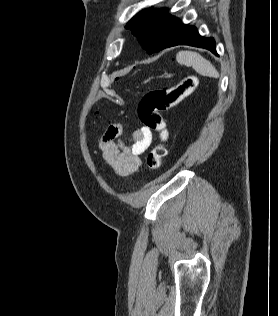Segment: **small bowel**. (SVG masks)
Listing matches in <instances>:
<instances>
[{
	"mask_svg": "<svg viewBox=\"0 0 278 316\" xmlns=\"http://www.w3.org/2000/svg\"><path fill=\"white\" fill-rule=\"evenodd\" d=\"M122 125L113 123L108 126L99 140V150L104 162L122 177H127L138 170L141 165L140 156L152 143L153 133L146 126L132 132L131 142L126 143L120 137Z\"/></svg>",
	"mask_w": 278,
	"mask_h": 316,
	"instance_id": "obj_1",
	"label": "small bowel"
}]
</instances>
